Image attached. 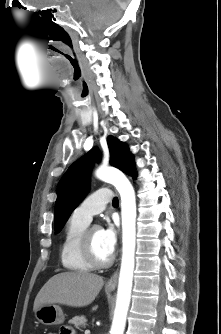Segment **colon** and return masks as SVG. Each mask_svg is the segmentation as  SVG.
I'll return each instance as SVG.
<instances>
[{
	"mask_svg": "<svg viewBox=\"0 0 221 334\" xmlns=\"http://www.w3.org/2000/svg\"><path fill=\"white\" fill-rule=\"evenodd\" d=\"M48 334H56V333H52V332H50V333H48Z\"/></svg>",
	"mask_w": 221,
	"mask_h": 334,
	"instance_id": "obj_1",
	"label": "colon"
}]
</instances>
